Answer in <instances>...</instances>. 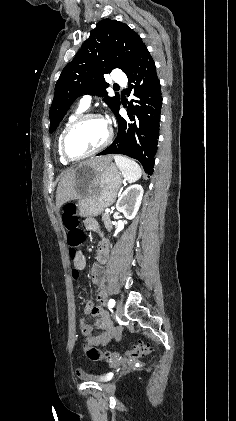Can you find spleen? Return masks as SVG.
Returning <instances> with one entry per match:
<instances>
[{
  "instance_id": "spleen-1",
  "label": "spleen",
  "mask_w": 236,
  "mask_h": 421,
  "mask_svg": "<svg viewBox=\"0 0 236 421\" xmlns=\"http://www.w3.org/2000/svg\"><path fill=\"white\" fill-rule=\"evenodd\" d=\"M114 158L125 180H128V182H135V180H138V178H140L142 174L141 166H139L138 162H135L133 158H127V156H120V154H116Z\"/></svg>"
}]
</instances>
